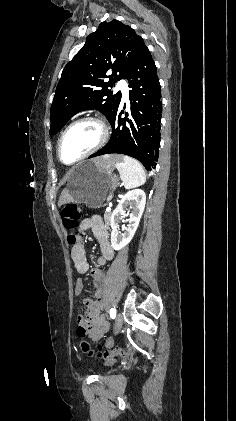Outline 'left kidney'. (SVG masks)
I'll return each instance as SVG.
<instances>
[{
    "instance_id": "5707ae66",
    "label": "left kidney",
    "mask_w": 236,
    "mask_h": 421,
    "mask_svg": "<svg viewBox=\"0 0 236 421\" xmlns=\"http://www.w3.org/2000/svg\"><path fill=\"white\" fill-rule=\"evenodd\" d=\"M146 202V194L141 188H135V190H128L121 198L115 211H113L110 217V225L112 229L111 233V245L115 251H120L123 247H126L130 241H132L140 223V219L144 213ZM126 206H131L132 211L129 215L130 219L128 227H125L124 233H120L119 223L124 219L122 215H125Z\"/></svg>"
}]
</instances>
